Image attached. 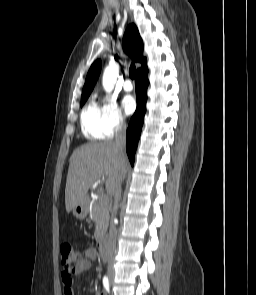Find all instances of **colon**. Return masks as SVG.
Listing matches in <instances>:
<instances>
[{
    "mask_svg": "<svg viewBox=\"0 0 256 295\" xmlns=\"http://www.w3.org/2000/svg\"><path fill=\"white\" fill-rule=\"evenodd\" d=\"M60 252L61 265L66 270H72L80 261L79 253L70 244H63Z\"/></svg>",
    "mask_w": 256,
    "mask_h": 295,
    "instance_id": "colon-1",
    "label": "colon"
}]
</instances>
